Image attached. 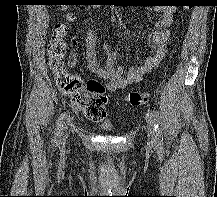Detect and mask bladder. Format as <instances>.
Segmentation results:
<instances>
[{
    "label": "bladder",
    "mask_w": 217,
    "mask_h": 197,
    "mask_svg": "<svg viewBox=\"0 0 217 197\" xmlns=\"http://www.w3.org/2000/svg\"><path fill=\"white\" fill-rule=\"evenodd\" d=\"M101 128L106 129V130H109V131L114 130V126H113L112 124H104V125H101Z\"/></svg>",
    "instance_id": "1"
}]
</instances>
